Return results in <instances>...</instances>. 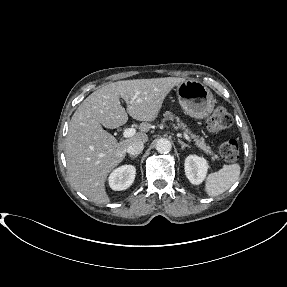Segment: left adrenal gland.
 <instances>
[{"label":"left adrenal gland","mask_w":287,"mask_h":287,"mask_svg":"<svg viewBox=\"0 0 287 287\" xmlns=\"http://www.w3.org/2000/svg\"><path fill=\"white\" fill-rule=\"evenodd\" d=\"M178 142L181 144V149H182V150H184V149H185V147L190 148V146H189L188 144L184 143V142H183V141H181L180 139H178Z\"/></svg>","instance_id":"1"}]
</instances>
